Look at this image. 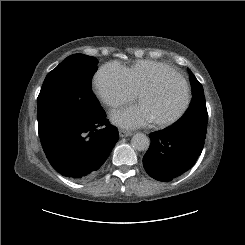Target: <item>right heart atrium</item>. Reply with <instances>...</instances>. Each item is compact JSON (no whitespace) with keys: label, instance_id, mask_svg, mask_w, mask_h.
<instances>
[{"label":"right heart atrium","instance_id":"d8ad5b80","mask_svg":"<svg viewBox=\"0 0 245 245\" xmlns=\"http://www.w3.org/2000/svg\"><path fill=\"white\" fill-rule=\"evenodd\" d=\"M92 85L97 97L111 109L118 108L137 96L126 68L116 62L102 65L95 73Z\"/></svg>","mask_w":245,"mask_h":245}]
</instances>
